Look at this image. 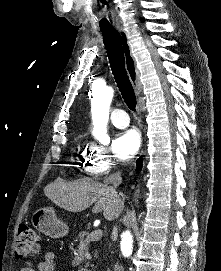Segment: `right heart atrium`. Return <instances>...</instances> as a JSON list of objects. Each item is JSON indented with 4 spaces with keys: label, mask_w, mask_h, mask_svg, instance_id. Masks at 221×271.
Segmentation results:
<instances>
[{
    "label": "right heart atrium",
    "mask_w": 221,
    "mask_h": 271,
    "mask_svg": "<svg viewBox=\"0 0 221 271\" xmlns=\"http://www.w3.org/2000/svg\"><path fill=\"white\" fill-rule=\"evenodd\" d=\"M76 159H80L81 173H85V177H102L106 168L111 166L108 160L112 159V154L105 151H77Z\"/></svg>",
    "instance_id": "right-heart-atrium-1"
}]
</instances>
